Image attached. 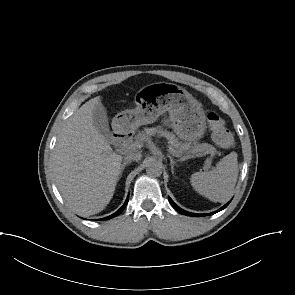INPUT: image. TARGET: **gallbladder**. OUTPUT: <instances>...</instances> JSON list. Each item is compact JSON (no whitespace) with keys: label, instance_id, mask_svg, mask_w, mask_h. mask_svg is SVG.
<instances>
[{"label":"gallbladder","instance_id":"bac80fb5","mask_svg":"<svg viewBox=\"0 0 295 295\" xmlns=\"http://www.w3.org/2000/svg\"><path fill=\"white\" fill-rule=\"evenodd\" d=\"M93 124L98 132L104 136L107 142H112V134L109 129V122L105 107L99 102L93 110Z\"/></svg>","mask_w":295,"mask_h":295}]
</instances>
